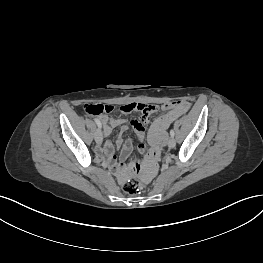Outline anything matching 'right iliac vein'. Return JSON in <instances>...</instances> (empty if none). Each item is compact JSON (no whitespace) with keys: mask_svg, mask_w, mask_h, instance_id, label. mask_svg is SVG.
Segmentation results:
<instances>
[{"mask_svg":"<svg viewBox=\"0 0 263 263\" xmlns=\"http://www.w3.org/2000/svg\"><path fill=\"white\" fill-rule=\"evenodd\" d=\"M94 138L97 144H101L103 140L102 131L98 128L94 134Z\"/></svg>","mask_w":263,"mask_h":263,"instance_id":"right-iliac-vein-1","label":"right iliac vein"}]
</instances>
